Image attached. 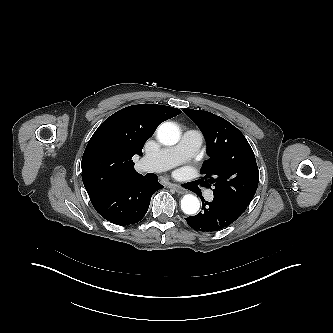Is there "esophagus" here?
<instances>
[{"label":"esophagus","mask_w":333,"mask_h":333,"mask_svg":"<svg viewBox=\"0 0 333 333\" xmlns=\"http://www.w3.org/2000/svg\"><path fill=\"white\" fill-rule=\"evenodd\" d=\"M169 188L174 189L177 193L179 194H185L187 191L181 187H179L178 185L175 184H169Z\"/></svg>","instance_id":"34e87169"}]
</instances>
